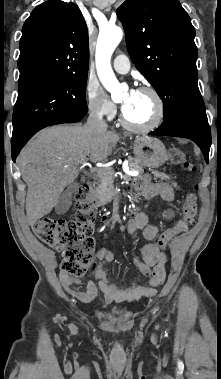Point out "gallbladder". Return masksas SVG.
I'll return each mask as SVG.
<instances>
[{
    "instance_id": "gallbladder-1",
    "label": "gallbladder",
    "mask_w": 221,
    "mask_h": 379,
    "mask_svg": "<svg viewBox=\"0 0 221 379\" xmlns=\"http://www.w3.org/2000/svg\"><path fill=\"white\" fill-rule=\"evenodd\" d=\"M78 186H79L78 183L72 182L60 194L55 205V212L57 214L61 215V214L66 213L69 210L72 204L73 194L77 191Z\"/></svg>"
}]
</instances>
